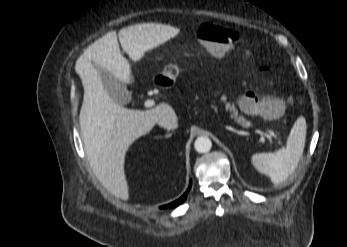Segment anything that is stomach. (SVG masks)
Returning <instances> with one entry per match:
<instances>
[{
	"label": "stomach",
	"mask_w": 347,
	"mask_h": 247,
	"mask_svg": "<svg viewBox=\"0 0 347 247\" xmlns=\"http://www.w3.org/2000/svg\"><path fill=\"white\" fill-rule=\"evenodd\" d=\"M178 75V68L174 65H167L160 76L168 79L170 81H175L176 76Z\"/></svg>",
	"instance_id": "stomach-1"
}]
</instances>
